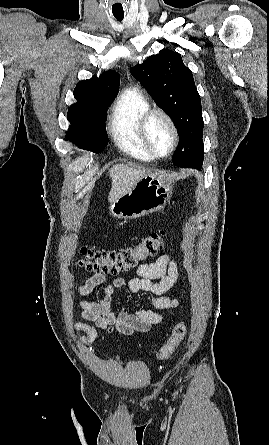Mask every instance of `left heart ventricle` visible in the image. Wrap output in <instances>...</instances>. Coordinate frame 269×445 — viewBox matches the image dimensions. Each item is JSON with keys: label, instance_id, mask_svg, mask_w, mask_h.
<instances>
[{"label": "left heart ventricle", "instance_id": "1", "mask_svg": "<svg viewBox=\"0 0 269 445\" xmlns=\"http://www.w3.org/2000/svg\"><path fill=\"white\" fill-rule=\"evenodd\" d=\"M147 134L151 145L158 154L164 155L169 151L173 136L169 124L163 117L156 115L150 120Z\"/></svg>", "mask_w": 269, "mask_h": 445}]
</instances>
